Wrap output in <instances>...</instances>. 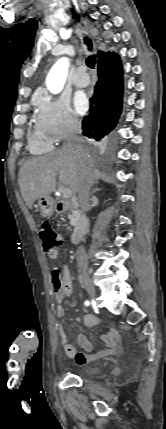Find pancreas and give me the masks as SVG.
Here are the masks:
<instances>
[{"label": "pancreas", "instance_id": "1", "mask_svg": "<svg viewBox=\"0 0 166 429\" xmlns=\"http://www.w3.org/2000/svg\"><path fill=\"white\" fill-rule=\"evenodd\" d=\"M68 218L70 219V222H71V224L73 225L74 223H73V214H69L68 215Z\"/></svg>", "mask_w": 166, "mask_h": 429}]
</instances>
